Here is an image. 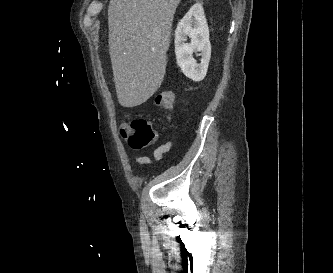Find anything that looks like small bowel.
I'll use <instances>...</instances> for the list:
<instances>
[{
	"label": "small bowel",
	"mask_w": 333,
	"mask_h": 273,
	"mask_svg": "<svg viewBox=\"0 0 333 273\" xmlns=\"http://www.w3.org/2000/svg\"><path fill=\"white\" fill-rule=\"evenodd\" d=\"M172 148V141H166L159 145L153 152V158L155 161H160L163 156L169 152ZM136 162L139 164H150L152 160L147 156L136 157Z\"/></svg>",
	"instance_id": "c3829d8e"
}]
</instances>
